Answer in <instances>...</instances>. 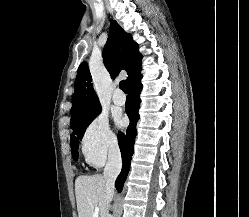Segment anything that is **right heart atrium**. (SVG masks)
<instances>
[{
	"label": "right heart atrium",
	"mask_w": 249,
	"mask_h": 217,
	"mask_svg": "<svg viewBox=\"0 0 249 217\" xmlns=\"http://www.w3.org/2000/svg\"><path fill=\"white\" fill-rule=\"evenodd\" d=\"M117 146L116 136L103 115L96 116L82 135V153L85 161L93 167H101L107 157L117 150Z\"/></svg>",
	"instance_id": "obj_1"
}]
</instances>
